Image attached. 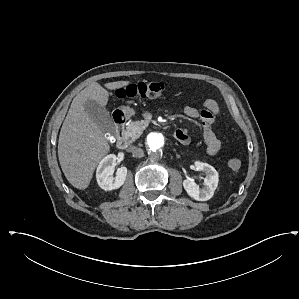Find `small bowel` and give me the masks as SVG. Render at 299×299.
Listing matches in <instances>:
<instances>
[{
	"label": "small bowel",
	"instance_id": "1",
	"mask_svg": "<svg viewBox=\"0 0 299 299\" xmlns=\"http://www.w3.org/2000/svg\"><path fill=\"white\" fill-rule=\"evenodd\" d=\"M184 113L190 118H199L202 121L206 152L211 156L216 155L221 146L213 130L215 119L220 113L218 103L213 99H206L203 101L201 109L187 105L184 107ZM175 137L182 144H188L190 141L189 135L184 129H177Z\"/></svg>",
	"mask_w": 299,
	"mask_h": 299
}]
</instances>
